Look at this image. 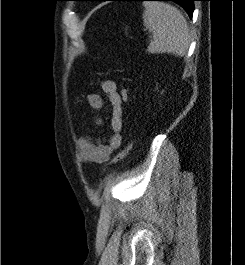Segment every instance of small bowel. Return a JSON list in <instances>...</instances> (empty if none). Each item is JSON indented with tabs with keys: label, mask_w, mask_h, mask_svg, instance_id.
I'll use <instances>...</instances> for the list:
<instances>
[{
	"label": "small bowel",
	"mask_w": 245,
	"mask_h": 265,
	"mask_svg": "<svg viewBox=\"0 0 245 265\" xmlns=\"http://www.w3.org/2000/svg\"><path fill=\"white\" fill-rule=\"evenodd\" d=\"M101 89L105 93L106 98H103L99 94L91 93L87 95L86 101L95 110H102L106 103L110 104V126L112 133L107 143L94 141L90 136L81 137L77 141L80 157L84 162L103 163L107 161L111 154L121 146L123 141V101L120 92L116 83L111 80L102 81ZM96 123L101 124L102 120L99 118Z\"/></svg>",
	"instance_id": "small-bowel-1"
}]
</instances>
